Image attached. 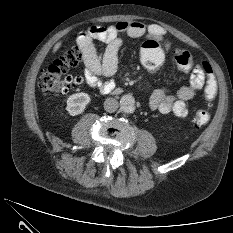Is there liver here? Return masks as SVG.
<instances>
[{
    "mask_svg": "<svg viewBox=\"0 0 233 233\" xmlns=\"http://www.w3.org/2000/svg\"><path fill=\"white\" fill-rule=\"evenodd\" d=\"M61 45H62V42H61V41L57 42V43L54 45L52 52H53V53L57 52V50H59V48L61 47Z\"/></svg>",
    "mask_w": 233,
    "mask_h": 233,
    "instance_id": "1",
    "label": "liver"
}]
</instances>
